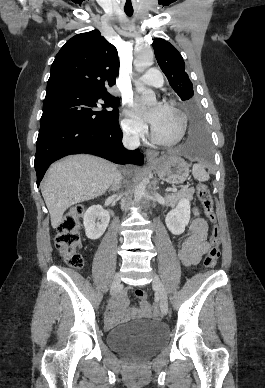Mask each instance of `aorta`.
<instances>
[{
  "label": "aorta",
  "instance_id": "aorta-1",
  "mask_svg": "<svg viewBox=\"0 0 265 388\" xmlns=\"http://www.w3.org/2000/svg\"><path fill=\"white\" fill-rule=\"evenodd\" d=\"M154 54L152 50H144L138 52L135 59V68L138 72H143L146 68L150 67L153 64ZM137 91L141 94L142 102L145 104H150L155 101L156 96L152 90H149L143 86L137 87ZM146 191V179H143L138 183L134 190V200L139 202Z\"/></svg>",
  "mask_w": 265,
  "mask_h": 388
}]
</instances>
